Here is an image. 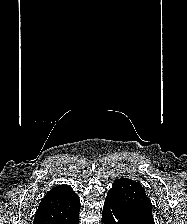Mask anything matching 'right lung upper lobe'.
<instances>
[{
	"label": "right lung upper lobe",
	"instance_id": "obj_1",
	"mask_svg": "<svg viewBox=\"0 0 187 224\" xmlns=\"http://www.w3.org/2000/svg\"><path fill=\"white\" fill-rule=\"evenodd\" d=\"M78 211L80 200L77 194L68 185H59L42 199L34 224H66Z\"/></svg>",
	"mask_w": 187,
	"mask_h": 224
}]
</instances>
